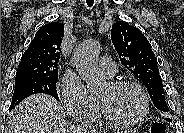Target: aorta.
Returning a JSON list of instances; mask_svg holds the SVG:
<instances>
[{
	"label": "aorta",
	"instance_id": "aorta-1",
	"mask_svg": "<svg viewBox=\"0 0 184 133\" xmlns=\"http://www.w3.org/2000/svg\"><path fill=\"white\" fill-rule=\"evenodd\" d=\"M99 52V41L87 39L76 45L73 53L76 70L92 92L99 90L105 83V77L97 67Z\"/></svg>",
	"mask_w": 184,
	"mask_h": 133
}]
</instances>
